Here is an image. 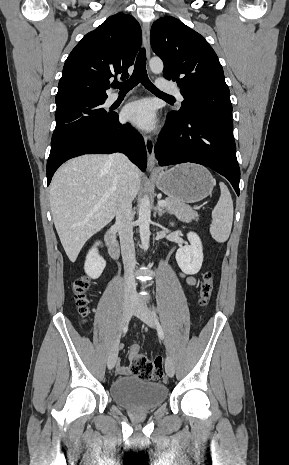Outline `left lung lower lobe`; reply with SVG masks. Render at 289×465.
Returning a JSON list of instances; mask_svg holds the SVG:
<instances>
[{
    "instance_id": "1",
    "label": "left lung lower lobe",
    "mask_w": 289,
    "mask_h": 465,
    "mask_svg": "<svg viewBox=\"0 0 289 465\" xmlns=\"http://www.w3.org/2000/svg\"><path fill=\"white\" fill-rule=\"evenodd\" d=\"M160 166L192 162L226 177L239 195L240 169L231 117L191 112L178 117L169 112L155 145Z\"/></svg>"
}]
</instances>
